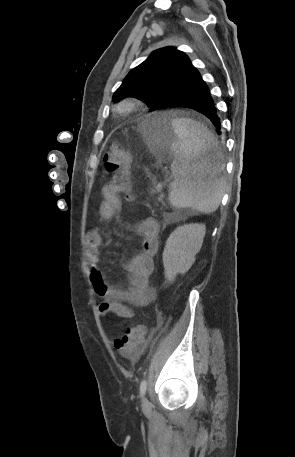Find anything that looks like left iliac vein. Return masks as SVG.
I'll list each match as a JSON object with an SVG mask.
<instances>
[{
	"instance_id": "1",
	"label": "left iliac vein",
	"mask_w": 295,
	"mask_h": 457,
	"mask_svg": "<svg viewBox=\"0 0 295 457\" xmlns=\"http://www.w3.org/2000/svg\"><path fill=\"white\" fill-rule=\"evenodd\" d=\"M148 405V400L146 398L143 399V406H147Z\"/></svg>"
}]
</instances>
